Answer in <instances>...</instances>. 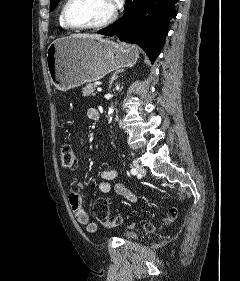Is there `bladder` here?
<instances>
[{
	"label": "bladder",
	"mask_w": 240,
	"mask_h": 281,
	"mask_svg": "<svg viewBox=\"0 0 240 281\" xmlns=\"http://www.w3.org/2000/svg\"><path fill=\"white\" fill-rule=\"evenodd\" d=\"M124 237L126 239H130V240H137L138 239V234L137 233H134V232H127L124 234Z\"/></svg>",
	"instance_id": "bladder-1"
}]
</instances>
